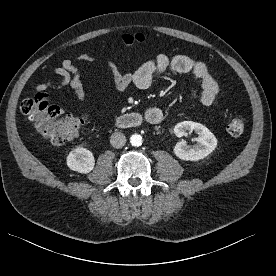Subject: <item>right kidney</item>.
Segmentation results:
<instances>
[{
  "instance_id": "obj_1",
  "label": "right kidney",
  "mask_w": 276,
  "mask_h": 276,
  "mask_svg": "<svg viewBox=\"0 0 276 276\" xmlns=\"http://www.w3.org/2000/svg\"><path fill=\"white\" fill-rule=\"evenodd\" d=\"M66 163L71 170L86 174L93 170L95 159L91 151L78 147L69 153Z\"/></svg>"
}]
</instances>
